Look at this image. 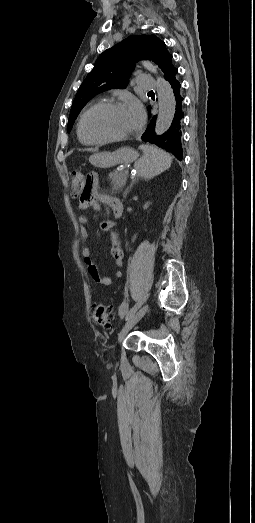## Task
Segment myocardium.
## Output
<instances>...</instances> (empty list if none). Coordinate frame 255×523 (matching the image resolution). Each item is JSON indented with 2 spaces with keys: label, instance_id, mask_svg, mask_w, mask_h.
Instances as JSON below:
<instances>
[{
  "label": "myocardium",
  "instance_id": "obj_1",
  "mask_svg": "<svg viewBox=\"0 0 255 523\" xmlns=\"http://www.w3.org/2000/svg\"><path fill=\"white\" fill-rule=\"evenodd\" d=\"M126 104H130V102L108 100V101L97 102V103L91 105L88 109H86L84 111V113L82 114V116L79 120L78 130H79L81 137L90 143L104 144V143L124 141V140L130 139V138L136 136L140 130V124H138L137 128L132 133L121 135V136H116V137H110V138H92V137L87 136L84 131L85 119L88 116V114L90 112H92L93 110H95L99 107H117V106H122V105H126Z\"/></svg>",
  "mask_w": 255,
  "mask_h": 523
}]
</instances>
